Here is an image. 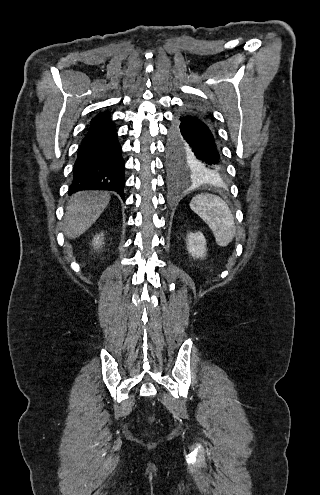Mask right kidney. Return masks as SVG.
<instances>
[{
	"label": "right kidney",
	"instance_id": "ca27d5eb",
	"mask_svg": "<svg viewBox=\"0 0 320 495\" xmlns=\"http://www.w3.org/2000/svg\"><path fill=\"white\" fill-rule=\"evenodd\" d=\"M101 236H103V234H102V233H101V235H98V236H96V237L94 238V240H93V245H94L95 247H98V248H99V247L102 245V238H101Z\"/></svg>",
	"mask_w": 320,
	"mask_h": 495
}]
</instances>
